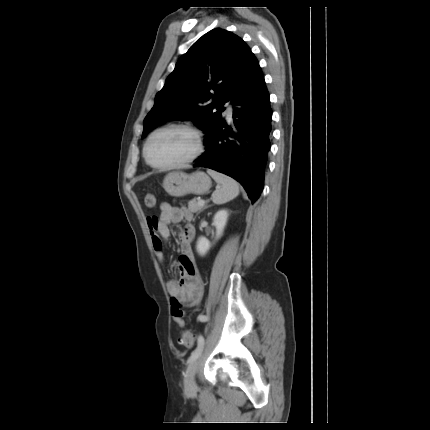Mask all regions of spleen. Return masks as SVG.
<instances>
[{
    "label": "spleen",
    "instance_id": "3e777b00",
    "mask_svg": "<svg viewBox=\"0 0 430 430\" xmlns=\"http://www.w3.org/2000/svg\"><path fill=\"white\" fill-rule=\"evenodd\" d=\"M207 173L217 182L218 188L212 194V200L215 204H224L239 194V184L230 176L207 169Z\"/></svg>",
    "mask_w": 430,
    "mask_h": 430
}]
</instances>
